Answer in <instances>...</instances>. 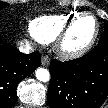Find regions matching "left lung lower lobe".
<instances>
[{"label":"left lung lower lobe","instance_id":"1","mask_svg":"<svg viewBox=\"0 0 108 108\" xmlns=\"http://www.w3.org/2000/svg\"><path fill=\"white\" fill-rule=\"evenodd\" d=\"M50 72V108H99L108 97V43L78 59H53Z\"/></svg>","mask_w":108,"mask_h":108}]
</instances>
